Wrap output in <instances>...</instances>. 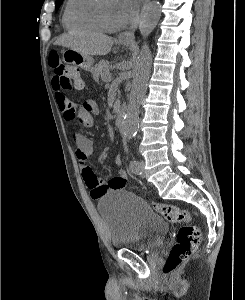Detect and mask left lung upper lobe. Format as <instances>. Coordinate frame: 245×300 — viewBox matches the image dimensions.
I'll return each mask as SVG.
<instances>
[{"label": "left lung upper lobe", "mask_w": 245, "mask_h": 300, "mask_svg": "<svg viewBox=\"0 0 245 300\" xmlns=\"http://www.w3.org/2000/svg\"><path fill=\"white\" fill-rule=\"evenodd\" d=\"M63 0H56V9L62 4Z\"/></svg>", "instance_id": "left-lung-upper-lobe-1"}]
</instances>
